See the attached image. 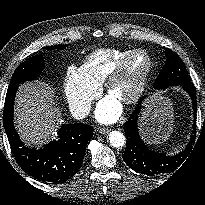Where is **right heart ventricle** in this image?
Segmentation results:
<instances>
[{
  "label": "right heart ventricle",
  "instance_id": "1",
  "mask_svg": "<svg viewBox=\"0 0 205 205\" xmlns=\"http://www.w3.org/2000/svg\"><path fill=\"white\" fill-rule=\"evenodd\" d=\"M133 49H98L92 52L80 69L90 82L101 86L116 64Z\"/></svg>",
  "mask_w": 205,
  "mask_h": 205
}]
</instances>
